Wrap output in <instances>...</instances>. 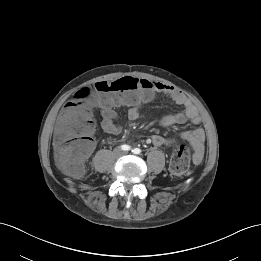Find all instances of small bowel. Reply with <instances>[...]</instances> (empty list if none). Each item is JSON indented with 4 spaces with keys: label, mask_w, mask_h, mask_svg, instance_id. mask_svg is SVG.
Wrapping results in <instances>:
<instances>
[{
    "label": "small bowel",
    "mask_w": 261,
    "mask_h": 261,
    "mask_svg": "<svg viewBox=\"0 0 261 261\" xmlns=\"http://www.w3.org/2000/svg\"><path fill=\"white\" fill-rule=\"evenodd\" d=\"M153 92L160 93L168 97L175 105L182 106L183 109L178 112H172L164 115L160 123L165 127H171L175 124L190 122L196 127L192 130L181 131L179 137L182 140H185L190 143L193 148V161L195 164H199L204 156L205 152V131L201 127L202 118L193 105V103L178 89L162 84L156 83V86L153 89ZM152 97V96H151ZM150 98L139 99L135 102L123 103L120 101H114L112 99L108 101H103L101 103V127L102 129L112 135H117L121 132V126L118 124V114L115 111L116 107L128 106L127 117L130 121H137L141 119V108L148 102ZM69 111H75L79 114H83L86 117L85 131L90 137L94 134L95 125L92 119L91 113L78 105V103L73 100L68 102L65 105L63 112L60 115L59 121L57 123L56 132L59 138L63 137L66 134L65 124L67 121V113ZM150 141L155 146L162 145H171L172 140L165 138L160 135H152ZM95 148V143L91 140L88 151L85 154L84 158H87L91 155Z\"/></svg>",
    "instance_id": "1"
}]
</instances>
